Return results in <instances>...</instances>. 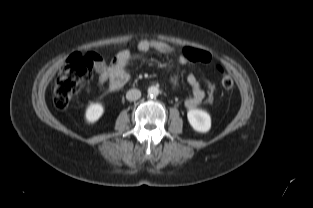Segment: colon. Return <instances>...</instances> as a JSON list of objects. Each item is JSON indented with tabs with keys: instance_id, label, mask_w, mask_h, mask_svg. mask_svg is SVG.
<instances>
[{
	"instance_id": "obj_1",
	"label": "colon",
	"mask_w": 313,
	"mask_h": 208,
	"mask_svg": "<svg viewBox=\"0 0 313 208\" xmlns=\"http://www.w3.org/2000/svg\"><path fill=\"white\" fill-rule=\"evenodd\" d=\"M184 54L191 63H209L211 55L200 49L188 48ZM100 56L94 52L74 53L72 54L61 72L59 73L54 89L53 101L57 108H66L74 95L82 88V86L91 78L95 60ZM221 75V85L225 89L233 86V79L229 74L224 72L223 68L218 66ZM208 96L207 103H212L215 97L216 86L213 82L207 83Z\"/></svg>"
}]
</instances>
